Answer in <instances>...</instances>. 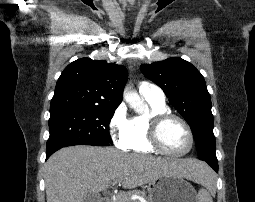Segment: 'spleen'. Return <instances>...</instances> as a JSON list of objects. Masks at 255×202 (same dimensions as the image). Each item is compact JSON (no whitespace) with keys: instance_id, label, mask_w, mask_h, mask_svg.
Segmentation results:
<instances>
[{"instance_id":"obj_1","label":"spleen","mask_w":255,"mask_h":202,"mask_svg":"<svg viewBox=\"0 0 255 202\" xmlns=\"http://www.w3.org/2000/svg\"><path fill=\"white\" fill-rule=\"evenodd\" d=\"M199 180L204 188L200 189L198 192L199 202H213L212 195L216 192V177L215 174L206 166H198Z\"/></svg>"}]
</instances>
